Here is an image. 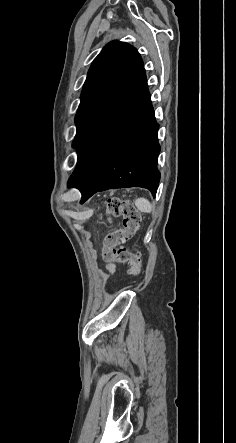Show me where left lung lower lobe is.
<instances>
[{"mask_svg": "<svg viewBox=\"0 0 236 443\" xmlns=\"http://www.w3.org/2000/svg\"><path fill=\"white\" fill-rule=\"evenodd\" d=\"M158 127L143 69L76 145L77 166L68 183L82 193L81 203L98 191L123 187H144L155 196Z\"/></svg>", "mask_w": 236, "mask_h": 443, "instance_id": "left-lung-lower-lobe-1", "label": "left lung lower lobe"}]
</instances>
